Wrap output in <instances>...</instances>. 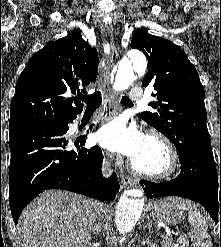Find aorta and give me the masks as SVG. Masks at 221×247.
I'll list each match as a JSON object with an SVG mask.
<instances>
[{"mask_svg":"<svg viewBox=\"0 0 221 247\" xmlns=\"http://www.w3.org/2000/svg\"><path fill=\"white\" fill-rule=\"evenodd\" d=\"M147 68L145 56L138 51L127 53L126 71L129 76L133 72L143 75ZM144 206L143 198H130L123 194L116 207L115 224L119 233L124 234L133 230L139 220Z\"/></svg>","mask_w":221,"mask_h":247,"instance_id":"obj_1","label":"aorta"}]
</instances>
